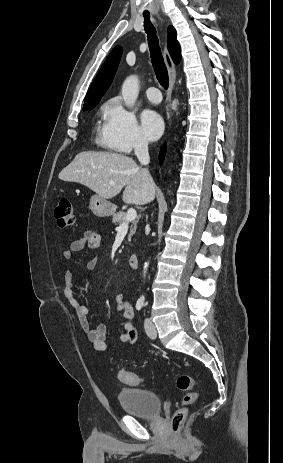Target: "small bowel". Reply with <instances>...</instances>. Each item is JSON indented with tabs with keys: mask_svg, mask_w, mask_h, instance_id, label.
Returning a JSON list of instances; mask_svg holds the SVG:
<instances>
[{
	"mask_svg": "<svg viewBox=\"0 0 283 463\" xmlns=\"http://www.w3.org/2000/svg\"><path fill=\"white\" fill-rule=\"evenodd\" d=\"M100 241L101 237L99 232L96 229H89L81 238L70 243L68 248L63 251V258L65 260H72L75 253L85 248L96 249L100 245ZM97 263L98 260L92 258L88 260L87 267L93 269L97 266ZM64 296L75 311L79 324L93 348L97 351H106L110 347L106 342V326L103 323H99L96 326L90 325L87 318L88 307L81 303L75 294L74 276L71 270H66L64 273ZM115 304L117 310L125 320L122 325L123 331L120 334L118 343L115 345L135 344L137 341V332L133 324V307L122 294H118L115 297Z\"/></svg>",
	"mask_w": 283,
	"mask_h": 463,
	"instance_id": "1",
	"label": "small bowel"
}]
</instances>
